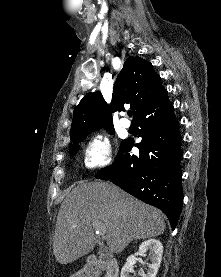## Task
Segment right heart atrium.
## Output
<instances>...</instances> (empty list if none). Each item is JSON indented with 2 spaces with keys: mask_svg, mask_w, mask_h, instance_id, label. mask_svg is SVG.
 <instances>
[{
  "mask_svg": "<svg viewBox=\"0 0 221 277\" xmlns=\"http://www.w3.org/2000/svg\"><path fill=\"white\" fill-rule=\"evenodd\" d=\"M112 149L109 138L98 133L94 135L85 148L84 165L87 169H95L110 163Z\"/></svg>",
  "mask_w": 221,
  "mask_h": 277,
  "instance_id": "right-heart-atrium-1",
  "label": "right heart atrium"
}]
</instances>
